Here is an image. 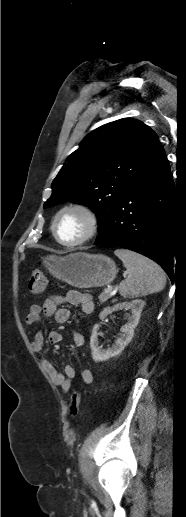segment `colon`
Returning <instances> with one entry per match:
<instances>
[{"label":"colon","mask_w":186,"mask_h":517,"mask_svg":"<svg viewBox=\"0 0 186 517\" xmlns=\"http://www.w3.org/2000/svg\"><path fill=\"white\" fill-rule=\"evenodd\" d=\"M47 284V278L46 274L41 269H34L31 272L30 278H29V290L32 294L38 295L41 294ZM81 402V393L78 390H74L71 393V399H70V414L72 416H76L79 411V406Z\"/></svg>","instance_id":"5ec220e1"}]
</instances>
